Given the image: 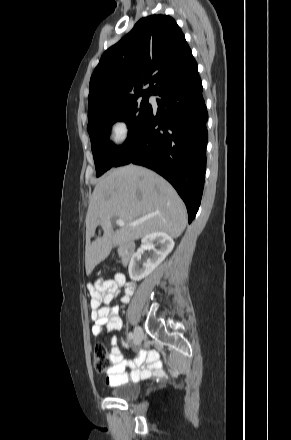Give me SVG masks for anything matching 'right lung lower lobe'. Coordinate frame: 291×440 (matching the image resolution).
I'll return each instance as SVG.
<instances>
[{"mask_svg": "<svg viewBox=\"0 0 291 440\" xmlns=\"http://www.w3.org/2000/svg\"><path fill=\"white\" fill-rule=\"evenodd\" d=\"M197 66L155 95L151 109L120 152L114 167L134 163L166 178L186 204L189 223L200 206L205 171L208 113Z\"/></svg>", "mask_w": 291, "mask_h": 440, "instance_id": "right-lung-lower-lobe-1", "label": "right lung lower lobe"}]
</instances>
